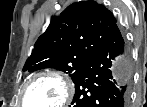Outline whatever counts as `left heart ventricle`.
<instances>
[{
    "instance_id": "left-heart-ventricle-1",
    "label": "left heart ventricle",
    "mask_w": 147,
    "mask_h": 107,
    "mask_svg": "<svg viewBox=\"0 0 147 107\" xmlns=\"http://www.w3.org/2000/svg\"><path fill=\"white\" fill-rule=\"evenodd\" d=\"M63 95L60 84L53 79L34 82L26 93V104L31 107H52Z\"/></svg>"
}]
</instances>
